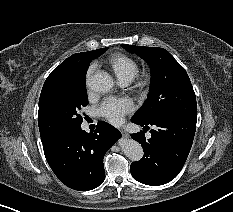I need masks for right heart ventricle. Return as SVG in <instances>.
Listing matches in <instances>:
<instances>
[{
  "instance_id": "1",
  "label": "right heart ventricle",
  "mask_w": 233,
  "mask_h": 212,
  "mask_svg": "<svg viewBox=\"0 0 233 212\" xmlns=\"http://www.w3.org/2000/svg\"><path fill=\"white\" fill-rule=\"evenodd\" d=\"M106 63L120 83H129L139 71L138 63L122 53L112 54Z\"/></svg>"
}]
</instances>
